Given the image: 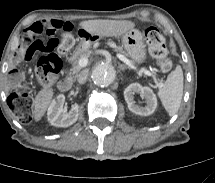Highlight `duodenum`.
Returning a JSON list of instances; mask_svg holds the SVG:
<instances>
[{
    "mask_svg": "<svg viewBox=\"0 0 215 183\" xmlns=\"http://www.w3.org/2000/svg\"><path fill=\"white\" fill-rule=\"evenodd\" d=\"M73 85V81L71 78H65L62 79L59 84H58V88L59 90L65 92L68 91Z\"/></svg>",
    "mask_w": 215,
    "mask_h": 183,
    "instance_id": "1",
    "label": "duodenum"
}]
</instances>
